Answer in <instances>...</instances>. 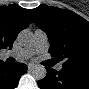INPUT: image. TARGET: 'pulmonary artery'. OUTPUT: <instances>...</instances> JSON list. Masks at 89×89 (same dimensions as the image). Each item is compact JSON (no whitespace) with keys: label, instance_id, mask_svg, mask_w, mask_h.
<instances>
[{"label":"pulmonary artery","instance_id":"e3ab8cb5","mask_svg":"<svg viewBox=\"0 0 89 89\" xmlns=\"http://www.w3.org/2000/svg\"><path fill=\"white\" fill-rule=\"evenodd\" d=\"M48 48L47 36L41 30H36L34 33V49L35 51H43ZM61 68V64L58 65V69Z\"/></svg>","mask_w":89,"mask_h":89}]
</instances>
